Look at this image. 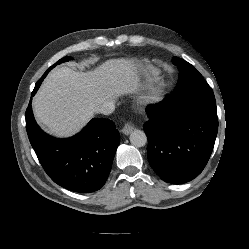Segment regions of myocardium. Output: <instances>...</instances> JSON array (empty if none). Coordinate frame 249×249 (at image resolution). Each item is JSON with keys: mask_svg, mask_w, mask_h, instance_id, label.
<instances>
[{"mask_svg": "<svg viewBox=\"0 0 249 249\" xmlns=\"http://www.w3.org/2000/svg\"><path fill=\"white\" fill-rule=\"evenodd\" d=\"M159 93H160V90L158 88L152 89L148 93V95L145 97L144 101L149 102V101H152V100L156 99L158 97Z\"/></svg>", "mask_w": 249, "mask_h": 249, "instance_id": "obj_1", "label": "myocardium"}]
</instances>
